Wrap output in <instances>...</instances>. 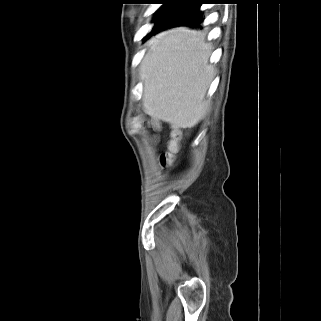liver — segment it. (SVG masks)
Returning <instances> with one entry per match:
<instances>
[{"instance_id":"obj_1","label":"liver","mask_w":321,"mask_h":321,"mask_svg":"<svg viewBox=\"0 0 321 321\" xmlns=\"http://www.w3.org/2000/svg\"><path fill=\"white\" fill-rule=\"evenodd\" d=\"M211 53L201 31L178 27L152 37L139 70L145 113L179 128L197 125L209 106Z\"/></svg>"}]
</instances>
